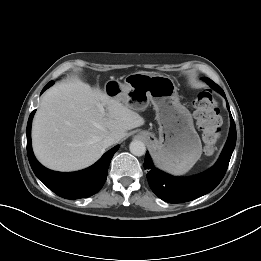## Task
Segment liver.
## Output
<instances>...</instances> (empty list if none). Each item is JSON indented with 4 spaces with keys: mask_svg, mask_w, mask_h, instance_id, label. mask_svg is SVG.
<instances>
[{
    "mask_svg": "<svg viewBox=\"0 0 261 261\" xmlns=\"http://www.w3.org/2000/svg\"><path fill=\"white\" fill-rule=\"evenodd\" d=\"M144 123L138 113L98 88L80 80L59 83L46 91L35 114L33 151L47 168L80 170L102 156L106 136L118 143L128 130Z\"/></svg>",
    "mask_w": 261,
    "mask_h": 261,
    "instance_id": "liver-1",
    "label": "liver"
}]
</instances>
